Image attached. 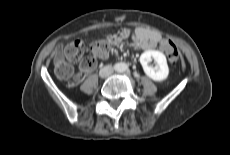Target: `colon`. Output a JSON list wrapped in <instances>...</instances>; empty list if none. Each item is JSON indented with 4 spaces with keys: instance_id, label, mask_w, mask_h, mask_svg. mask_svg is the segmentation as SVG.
I'll return each mask as SVG.
<instances>
[{
    "instance_id": "obj_1",
    "label": "colon",
    "mask_w": 230,
    "mask_h": 155,
    "mask_svg": "<svg viewBox=\"0 0 230 155\" xmlns=\"http://www.w3.org/2000/svg\"><path fill=\"white\" fill-rule=\"evenodd\" d=\"M157 48L164 49V52L173 64L179 59V52L175 44L170 39H160L157 41ZM109 44L106 41H95L90 45V56H86L82 62L83 69H92L95 66V57L108 52ZM85 53L84 43L80 40L72 41L66 44L61 51H57L53 58L54 72L62 80L72 84L73 69L67 62L79 61Z\"/></svg>"
}]
</instances>
